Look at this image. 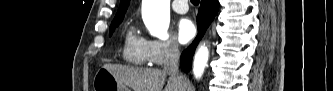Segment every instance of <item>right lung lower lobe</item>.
Listing matches in <instances>:
<instances>
[{"instance_id": "right-lung-lower-lobe-1", "label": "right lung lower lobe", "mask_w": 333, "mask_h": 91, "mask_svg": "<svg viewBox=\"0 0 333 91\" xmlns=\"http://www.w3.org/2000/svg\"><path fill=\"white\" fill-rule=\"evenodd\" d=\"M218 10H219L218 0L201 1V5L197 15L198 35L195 38V40L192 42V44L186 50H184L181 55V68L185 72H188L190 70L191 61L195 48L198 45L200 39L203 37L206 29L215 18Z\"/></svg>"}]
</instances>
